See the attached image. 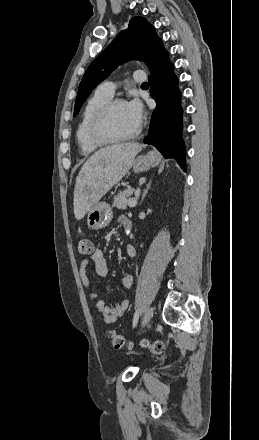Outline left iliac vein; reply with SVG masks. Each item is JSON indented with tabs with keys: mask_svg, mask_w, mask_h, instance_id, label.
Segmentation results:
<instances>
[{
	"mask_svg": "<svg viewBox=\"0 0 259 440\" xmlns=\"http://www.w3.org/2000/svg\"><path fill=\"white\" fill-rule=\"evenodd\" d=\"M153 307H150L147 309L143 321H142V328H144L151 320L152 316H153Z\"/></svg>",
	"mask_w": 259,
	"mask_h": 440,
	"instance_id": "obj_1",
	"label": "left iliac vein"
}]
</instances>
